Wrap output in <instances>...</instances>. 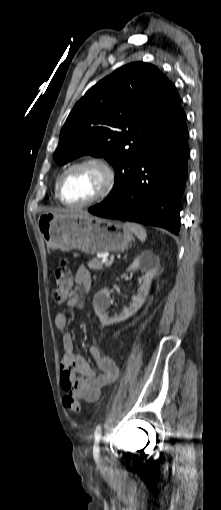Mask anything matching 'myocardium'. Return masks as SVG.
Wrapping results in <instances>:
<instances>
[{
    "instance_id": "myocardium-1",
    "label": "myocardium",
    "mask_w": 221,
    "mask_h": 510,
    "mask_svg": "<svg viewBox=\"0 0 221 510\" xmlns=\"http://www.w3.org/2000/svg\"><path fill=\"white\" fill-rule=\"evenodd\" d=\"M89 166L94 167L101 172L102 184H101L100 189L94 196H92L91 198H89L86 201L79 202V203L67 202L63 197V182H64L66 176L71 171H73L77 168L89 167ZM115 182H116V173H115V170H114L113 166L111 165V163L103 157L90 156V157H85L81 160H78V161L72 163L62 172V174L60 175L58 182H57L56 193H57V197L59 198L61 203L67 207H70V208L88 207V206H91V205L103 200L104 198H106L112 192V190L115 186Z\"/></svg>"
}]
</instances>
